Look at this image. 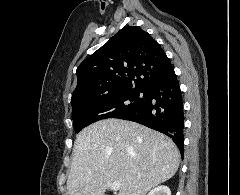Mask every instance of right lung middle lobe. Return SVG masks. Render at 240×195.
Returning a JSON list of instances; mask_svg holds the SVG:
<instances>
[{
    "instance_id": "dd1d6c3e",
    "label": "right lung middle lobe",
    "mask_w": 240,
    "mask_h": 195,
    "mask_svg": "<svg viewBox=\"0 0 240 195\" xmlns=\"http://www.w3.org/2000/svg\"><path fill=\"white\" fill-rule=\"evenodd\" d=\"M140 89H124L109 95L81 98L72 104L73 125L75 132L106 118H115L138 106L143 99L139 98Z\"/></svg>"
}]
</instances>
